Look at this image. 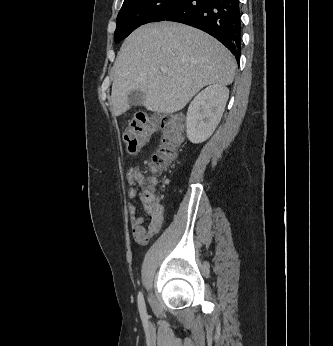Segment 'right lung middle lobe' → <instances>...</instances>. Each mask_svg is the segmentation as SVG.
<instances>
[{"instance_id":"1","label":"right lung middle lobe","mask_w":333,"mask_h":346,"mask_svg":"<svg viewBox=\"0 0 333 346\" xmlns=\"http://www.w3.org/2000/svg\"><path fill=\"white\" fill-rule=\"evenodd\" d=\"M183 0H124L117 16L115 42L119 43L139 26L163 21Z\"/></svg>"}]
</instances>
